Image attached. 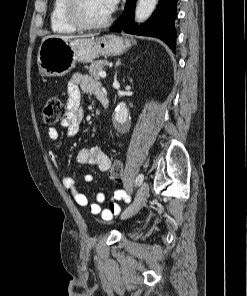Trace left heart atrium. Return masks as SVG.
I'll use <instances>...</instances> for the list:
<instances>
[{
	"label": "left heart atrium",
	"instance_id": "1",
	"mask_svg": "<svg viewBox=\"0 0 247 296\" xmlns=\"http://www.w3.org/2000/svg\"><path fill=\"white\" fill-rule=\"evenodd\" d=\"M119 0H105L109 13H112L118 4Z\"/></svg>",
	"mask_w": 247,
	"mask_h": 296
}]
</instances>
